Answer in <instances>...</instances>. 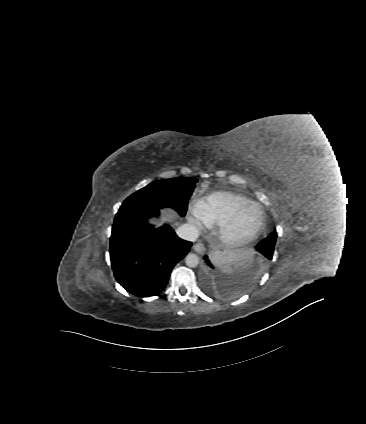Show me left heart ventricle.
I'll list each match as a JSON object with an SVG mask.
<instances>
[{
  "instance_id": "left-heart-ventricle-1",
  "label": "left heart ventricle",
  "mask_w": 366,
  "mask_h": 424,
  "mask_svg": "<svg viewBox=\"0 0 366 424\" xmlns=\"http://www.w3.org/2000/svg\"><path fill=\"white\" fill-rule=\"evenodd\" d=\"M258 221V211L255 208L248 209L241 217L237 225V233L245 235L250 233Z\"/></svg>"
}]
</instances>
